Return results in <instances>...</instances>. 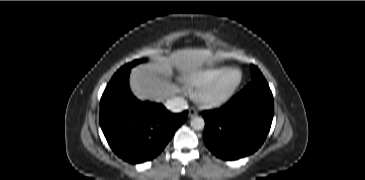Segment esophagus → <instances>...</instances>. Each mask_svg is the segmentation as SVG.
<instances>
[{"instance_id": "1", "label": "esophagus", "mask_w": 365, "mask_h": 180, "mask_svg": "<svg viewBox=\"0 0 365 180\" xmlns=\"http://www.w3.org/2000/svg\"><path fill=\"white\" fill-rule=\"evenodd\" d=\"M197 111L195 109H189V117L197 116Z\"/></svg>"}]
</instances>
